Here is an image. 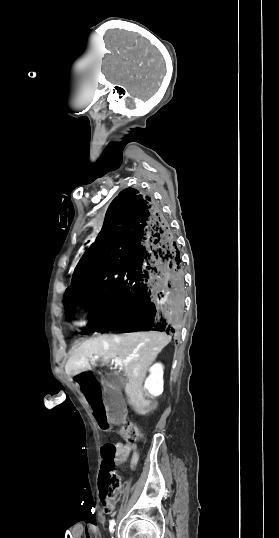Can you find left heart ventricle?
<instances>
[{"instance_id": "1", "label": "left heart ventricle", "mask_w": 279, "mask_h": 538, "mask_svg": "<svg viewBox=\"0 0 279 538\" xmlns=\"http://www.w3.org/2000/svg\"><path fill=\"white\" fill-rule=\"evenodd\" d=\"M99 217H100V216H99ZM99 217H98V218H99ZM98 218H97V219H98ZM76 226H77L76 228H78V229H79V226H78V225H76Z\"/></svg>"}]
</instances>
